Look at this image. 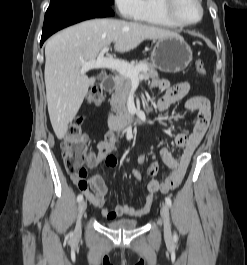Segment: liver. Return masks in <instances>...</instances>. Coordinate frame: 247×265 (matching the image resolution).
<instances>
[{"mask_svg":"<svg viewBox=\"0 0 247 265\" xmlns=\"http://www.w3.org/2000/svg\"><path fill=\"white\" fill-rule=\"evenodd\" d=\"M177 35L159 27L115 19H93L68 27L45 46V85L53 130L62 139L79 111L95 77L81 73L82 63L93 61L114 43L117 52L135 49L144 40Z\"/></svg>","mask_w":247,"mask_h":265,"instance_id":"1","label":"liver"}]
</instances>
